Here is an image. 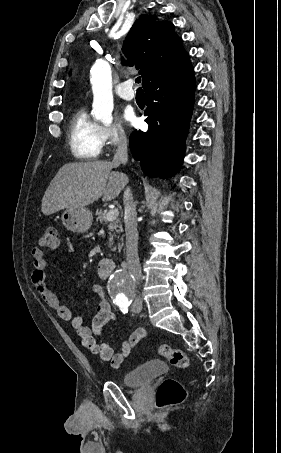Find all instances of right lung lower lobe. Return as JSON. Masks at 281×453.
Returning a JSON list of instances; mask_svg holds the SVG:
<instances>
[{"mask_svg": "<svg viewBox=\"0 0 281 453\" xmlns=\"http://www.w3.org/2000/svg\"><path fill=\"white\" fill-rule=\"evenodd\" d=\"M148 131L130 137L133 157L150 177H165L179 170L188 133L196 88L194 70L186 51L143 82Z\"/></svg>", "mask_w": 281, "mask_h": 453, "instance_id": "98d812e1", "label": "right lung lower lobe"}]
</instances>
